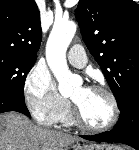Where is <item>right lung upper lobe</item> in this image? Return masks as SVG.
I'll return each mask as SVG.
<instances>
[{"label":"right lung upper lobe","instance_id":"1","mask_svg":"<svg viewBox=\"0 0 139 150\" xmlns=\"http://www.w3.org/2000/svg\"><path fill=\"white\" fill-rule=\"evenodd\" d=\"M42 31L33 0H0V51L37 58Z\"/></svg>","mask_w":139,"mask_h":150}]
</instances>
